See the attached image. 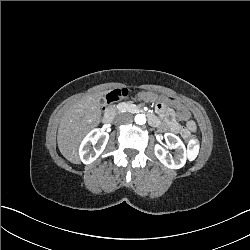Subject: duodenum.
Masks as SVG:
<instances>
[{
  "label": "duodenum",
  "mask_w": 250,
  "mask_h": 250,
  "mask_svg": "<svg viewBox=\"0 0 250 250\" xmlns=\"http://www.w3.org/2000/svg\"><path fill=\"white\" fill-rule=\"evenodd\" d=\"M104 123H111L112 122V116L111 113H105L103 117Z\"/></svg>",
  "instance_id": "duodenum-1"
}]
</instances>
